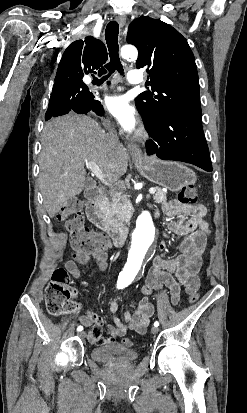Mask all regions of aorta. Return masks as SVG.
<instances>
[{"mask_svg":"<svg viewBox=\"0 0 247 413\" xmlns=\"http://www.w3.org/2000/svg\"><path fill=\"white\" fill-rule=\"evenodd\" d=\"M121 56L125 59L136 60L137 49L132 45H125L121 48ZM136 230L133 235V247L130 251L125 274L127 277L135 276L139 271L146 251L154 237V225L151 214L143 211L136 221Z\"/></svg>","mask_w":247,"mask_h":413,"instance_id":"1","label":"aorta"}]
</instances>
